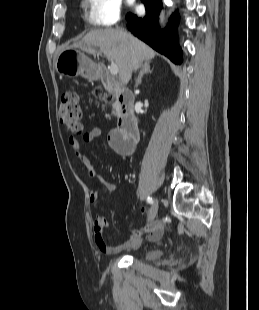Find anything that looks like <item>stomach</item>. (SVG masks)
Wrapping results in <instances>:
<instances>
[{
  "label": "stomach",
  "mask_w": 259,
  "mask_h": 310,
  "mask_svg": "<svg viewBox=\"0 0 259 310\" xmlns=\"http://www.w3.org/2000/svg\"><path fill=\"white\" fill-rule=\"evenodd\" d=\"M93 64L90 59L79 49L67 47L63 49L56 60V70L62 75L76 77L81 75L88 79H94Z\"/></svg>",
  "instance_id": "0dacf381"
}]
</instances>
